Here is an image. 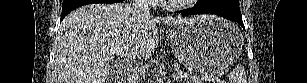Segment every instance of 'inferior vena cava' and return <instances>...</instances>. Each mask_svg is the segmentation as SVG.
<instances>
[{"label":"inferior vena cava","mask_w":307,"mask_h":83,"mask_svg":"<svg viewBox=\"0 0 307 83\" xmlns=\"http://www.w3.org/2000/svg\"><path fill=\"white\" fill-rule=\"evenodd\" d=\"M133 8L139 12L140 16H149V0H133Z\"/></svg>","instance_id":"obj_1"}]
</instances>
